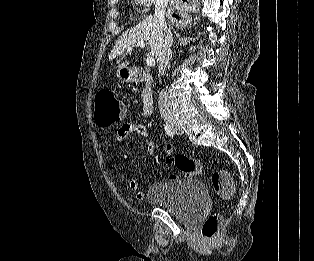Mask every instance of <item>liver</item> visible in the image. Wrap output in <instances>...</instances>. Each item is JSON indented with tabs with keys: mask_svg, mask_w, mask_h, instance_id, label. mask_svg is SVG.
I'll list each match as a JSON object with an SVG mask.
<instances>
[{
	"mask_svg": "<svg viewBox=\"0 0 314 261\" xmlns=\"http://www.w3.org/2000/svg\"><path fill=\"white\" fill-rule=\"evenodd\" d=\"M139 41L148 42L151 55L159 62L166 45V38L155 16L146 17L135 27L124 32L116 41L109 55V60H113L125 51H129L128 48H133ZM128 65L129 62H124L118 65V68L127 67Z\"/></svg>",
	"mask_w": 314,
	"mask_h": 261,
	"instance_id": "6515ba94",
	"label": "liver"
}]
</instances>
